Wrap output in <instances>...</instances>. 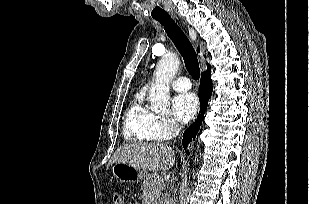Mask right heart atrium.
<instances>
[{"label":"right heart atrium","mask_w":309,"mask_h":204,"mask_svg":"<svg viewBox=\"0 0 309 204\" xmlns=\"http://www.w3.org/2000/svg\"><path fill=\"white\" fill-rule=\"evenodd\" d=\"M180 128V124L175 119L157 115L152 127V134L154 139L168 140L176 136Z\"/></svg>","instance_id":"1"}]
</instances>
